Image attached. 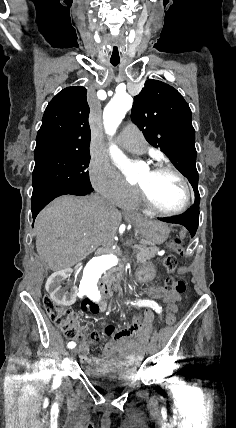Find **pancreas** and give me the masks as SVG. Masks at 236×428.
<instances>
[{
  "label": "pancreas",
  "mask_w": 236,
  "mask_h": 428,
  "mask_svg": "<svg viewBox=\"0 0 236 428\" xmlns=\"http://www.w3.org/2000/svg\"><path fill=\"white\" fill-rule=\"evenodd\" d=\"M133 248H138L136 258L139 264H146L147 260L155 258L157 252H159L157 246H133Z\"/></svg>",
  "instance_id": "cf45deb5"
}]
</instances>
